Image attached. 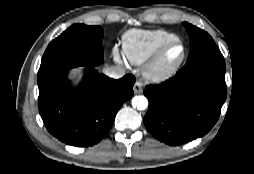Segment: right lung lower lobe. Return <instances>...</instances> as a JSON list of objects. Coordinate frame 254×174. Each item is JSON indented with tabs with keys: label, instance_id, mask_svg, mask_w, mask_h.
Returning <instances> with one entry per match:
<instances>
[{
	"label": "right lung lower lobe",
	"instance_id": "obj_1",
	"mask_svg": "<svg viewBox=\"0 0 254 174\" xmlns=\"http://www.w3.org/2000/svg\"><path fill=\"white\" fill-rule=\"evenodd\" d=\"M85 66V82L74 89L67 80L69 66L38 81V106L47 130L60 141L78 147L100 142L110 131L122 104L133 93L135 77L119 80L98 74L97 65Z\"/></svg>",
	"mask_w": 254,
	"mask_h": 174
}]
</instances>
